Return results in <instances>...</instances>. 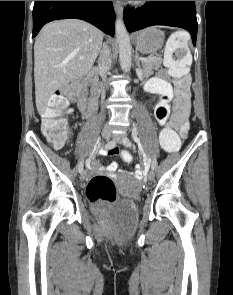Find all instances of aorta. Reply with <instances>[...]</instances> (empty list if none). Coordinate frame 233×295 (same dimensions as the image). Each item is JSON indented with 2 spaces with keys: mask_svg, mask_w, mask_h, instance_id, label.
<instances>
[{
  "mask_svg": "<svg viewBox=\"0 0 233 295\" xmlns=\"http://www.w3.org/2000/svg\"><path fill=\"white\" fill-rule=\"evenodd\" d=\"M116 39L119 47V61L123 71L127 72L131 68V43L130 37L123 21L118 18L115 22Z\"/></svg>",
  "mask_w": 233,
  "mask_h": 295,
  "instance_id": "aorta-1",
  "label": "aorta"
}]
</instances>
